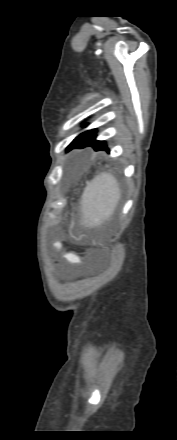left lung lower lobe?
<instances>
[{"instance_id":"left-lung-lower-lobe-1","label":"left lung lower lobe","mask_w":177,"mask_h":440,"mask_svg":"<svg viewBox=\"0 0 177 440\" xmlns=\"http://www.w3.org/2000/svg\"><path fill=\"white\" fill-rule=\"evenodd\" d=\"M96 131L89 134L85 138H83L81 141H79L74 148H84L87 146L93 147L95 151L105 150L109 152V148L107 147V144L105 141H99L96 140Z\"/></svg>"}]
</instances>
